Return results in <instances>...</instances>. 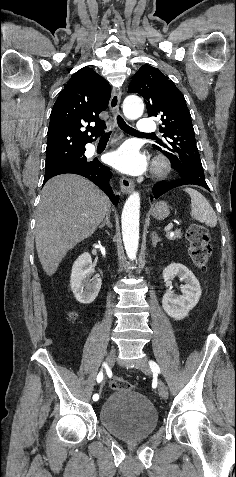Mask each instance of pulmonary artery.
Listing matches in <instances>:
<instances>
[{"instance_id": "1", "label": "pulmonary artery", "mask_w": 236, "mask_h": 477, "mask_svg": "<svg viewBox=\"0 0 236 477\" xmlns=\"http://www.w3.org/2000/svg\"><path fill=\"white\" fill-rule=\"evenodd\" d=\"M139 133L151 134L156 130V124L147 118L139 120L137 129Z\"/></svg>"}]
</instances>
